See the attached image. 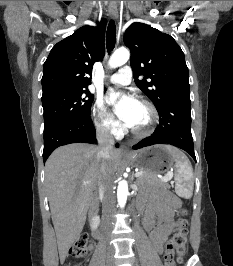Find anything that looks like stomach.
Segmentation results:
<instances>
[{
	"label": "stomach",
	"instance_id": "stomach-1",
	"mask_svg": "<svg viewBox=\"0 0 233 266\" xmlns=\"http://www.w3.org/2000/svg\"><path fill=\"white\" fill-rule=\"evenodd\" d=\"M172 147L156 145L134 151L126 156L127 161L141 171H147L152 174L160 172H169L175 162V156H172Z\"/></svg>",
	"mask_w": 233,
	"mask_h": 266
}]
</instances>
